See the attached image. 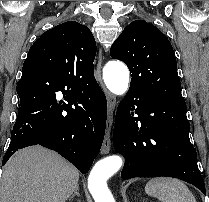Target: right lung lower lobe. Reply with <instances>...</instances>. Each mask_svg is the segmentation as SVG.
I'll use <instances>...</instances> for the list:
<instances>
[{"label":"right lung lower lobe","mask_w":209,"mask_h":202,"mask_svg":"<svg viewBox=\"0 0 209 202\" xmlns=\"http://www.w3.org/2000/svg\"><path fill=\"white\" fill-rule=\"evenodd\" d=\"M16 90L18 116L2 165L18 149L39 144L87 173L102 146L107 118L106 97L97 82L79 90L42 71L23 73ZM58 91L65 102L56 100Z\"/></svg>","instance_id":"right-lung-lower-lobe-1"}]
</instances>
